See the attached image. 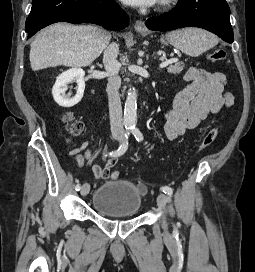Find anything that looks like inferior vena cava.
Returning <instances> with one entry per match:
<instances>
[{
	"label": "inferior vena cava",
	"instance_id": "obj_1",
	"mask_svg": "<svg viewBox=\"0 0 255 272\" xmlns=\"http://www.w3.org/2000/svg\"><path fill=\"white\" fill-rule=\"evenodd\" d=\"M119 52L118 44H110L104 51L103 63L108 77L107 94L109 101V115L111 132L114 135H122L124 133L122 120V107L119 95L121 79L118 75L120 63L117 60Z\"/></svg>",
	"mask_w": 255,
	"mask_h": 272
}]
</instances>
